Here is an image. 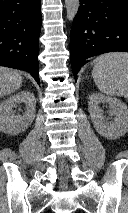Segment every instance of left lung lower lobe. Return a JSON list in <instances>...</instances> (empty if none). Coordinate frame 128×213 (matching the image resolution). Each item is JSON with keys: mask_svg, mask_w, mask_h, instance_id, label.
Masks as SVG:
<instances>
[{"mask_svg": "<svg viewBox=\"0 0 128 213\" xmlns=\"http://www.w3.org/2000/svg\"><path fill=\"white\" fill-rule=\"evenodd\" d=\"M114 51L128 52V0H80L70 37L74 78L87 58Z\"/></svg>", "mask_w": 128, "mask_h": 213, "instance_id": "left-lung-lower-lobe-1", "label": "left lung lower lobe"}]
</instances>
